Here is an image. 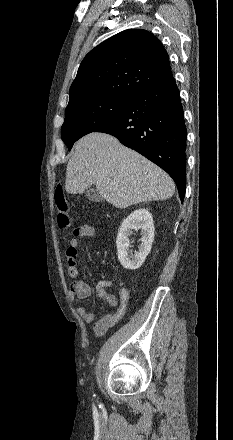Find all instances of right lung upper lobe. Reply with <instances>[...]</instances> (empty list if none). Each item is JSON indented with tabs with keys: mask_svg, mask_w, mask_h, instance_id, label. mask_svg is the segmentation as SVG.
Wrapping results in <instances>:
<instances>
[{
	"mask_svg": "<svg viewBox=\"0 0 233 440\" xmlns=\"http://www.w3.org/2000/svg\"><path fill=\"white\" fill-rule=\"evenodd\" d=\"M171 76L159 39L146 30H125L85 56L70 87L68 105L94 97L130 99Z\"/></svg>",
	"mask_w": 233,
	"mask_h": 440,
	"instance_id": "obj_1",
	"label": "right lung upper lobe"
}]
</instances>
